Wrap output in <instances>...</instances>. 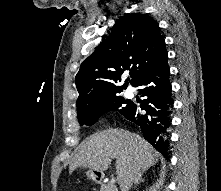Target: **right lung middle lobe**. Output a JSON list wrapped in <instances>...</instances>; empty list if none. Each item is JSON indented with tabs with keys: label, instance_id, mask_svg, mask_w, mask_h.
Segmentation results:
<instances>
[{
	"label": "right lung middle lobe",
	"instance_id": "1",
	"mask_svg": "<svg viewBox=\"0 0 221 191\" xmlns=\"http://www.w3.org/2000/svg\"><path fill=\"white\" fill-rule=\"evenodd\" d=\"M131 108V102L115 96L77 114L80 125H93L101 115L108 111H118L125 116Z\"/></svg>",
	"mask_w": 221,
	"mask_h": 191
}]
</instances>
